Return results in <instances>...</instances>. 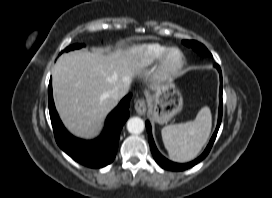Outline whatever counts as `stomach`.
Returning <instances> with one entry per match:
<instances>
[{
    "label": "stomach",
    "mask_w": 272,
    "mask_h": 198,
    "mask_svg": "<svg viewBox=\"0 0 272 198\" xmlns=\"http://www.w3.org/2000/svg\"><path fill=\"white\" fill-rule=\"evenodd\" d=\"M183 108V97L173 84H166L158 88L152 97L151 116L159 123H167Z\"/></svg>",
    "instance_id": "stomach-1"
}]
</instances>
